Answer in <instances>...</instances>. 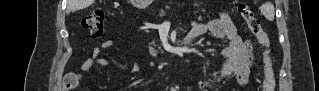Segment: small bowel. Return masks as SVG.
I'll list each match as a JSON object with an SVG mask.
<instances>
[{
	"label": "small bowel",
	"mask_w": 319,
	"mask_h": 91,
	"mask_svg": "<svg viewBox=\"0 0 319 91\" xmlns=\"http://www.w3.org/2000/svg\"><path fill=\"white\" fill-rule=\"evenodd\" d=\"M191 26L189 37H197L209 31L215 38L225 43L218 53L220 63L211 75L210 82L215 83L234 74L238 84L245 86L254 62V48L251 39L241 37L238 28L226 13H220L217 18L207 23L192 21ZM114 45L113 39L102 40L100 47H95L91 51L90 56L83 61L81 68L89 70L95 66H108L110 61L102 57V49H110ZM76 83V78L70 81L71 86H75ZM208 90H210L209 86L200 88V91Z\"/></svg>",
	"instance_id": "1"
}]
</instances>
